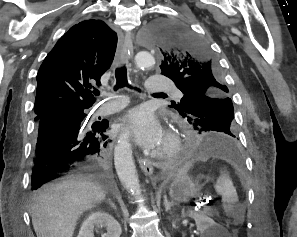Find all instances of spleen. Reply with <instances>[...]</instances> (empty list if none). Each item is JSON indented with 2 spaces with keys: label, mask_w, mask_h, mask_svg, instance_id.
<instances>
[{
  "label": "spleen",
  "mask_w": 297,
  "mask_h": 237,
  "mask_svg": "<svg viewBox=\"0 0 297 237\" xmlns=\"http://www.w3.org/2000/svg\"><path fill=\"white\" fill-rule=\"evenodd\" d=\"M191 166V162L184 165L179 171L178 175L187 173ZM214 187L216 192L222 196L224 211L226 213L232 212L234 210V204L238 201V196L232 181L225 171H221V174L218 177Z\"/></svg>",
  "instance_id": "3e777b00"
}]
</instances>
